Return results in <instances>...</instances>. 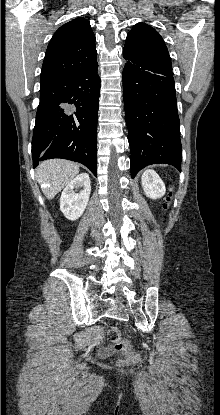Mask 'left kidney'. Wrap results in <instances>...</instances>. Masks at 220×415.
<instances>
[{"label": "left kidney", "instance_id": "5707ae66", "mask_svg": "<svg viewBox=\"0 0 220 415\" xmlns=\"http://www.w3.org/2000/svg\"><path fill=\"white\" fill-rule=\"evenodd\" d=\"M141 184L145 195L151 199L161 198L165 194V184L153 170L144 171L141 177Z\"/></svg>", "mask_w": 220, "mask_h": 415}]
</instances>
